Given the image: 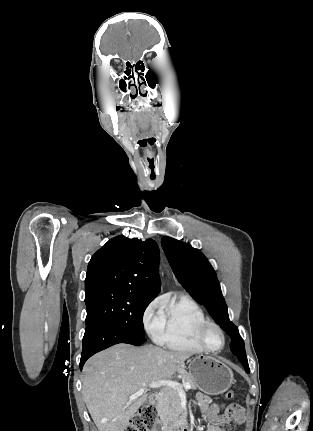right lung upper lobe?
Listing matches in <instances>:
<instances>
[{
    "label": "right lung upper lobe",
    "instance_id": "obj_1",
    "mask_svg": "<svg viewBox=\"0 0 313 431\" xmlns=\"http://www.w3.org/2000/svg\"><path fill=\"white\" fill-rule=\"evenodd\" d=\"M159 248L152 239H110L91 258L85 279V295L124 289L155 298L160 291Z\"/></svg>",
    "mask_w": 313,
    "mask_h": 431
}]
</instances>
